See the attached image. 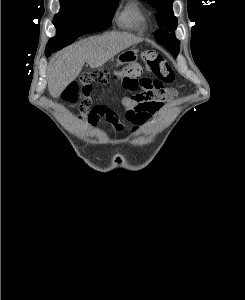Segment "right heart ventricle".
<instances>
[{
  "instance_id": "1",
  "label": "right heart ventricle",
  "mask_w": 245,
  "mask_h": 300,
  "mask_svg": "<svg viewBox=\"0 0 245 300\" xmlns=\"http://www.w3.org/2000/svg\"><path fill=\"white\" fill-rule=\"evenodd\" d=\"M121 27L140 29L145 24V18L137 2L128 3L117 18Z\"/></svg>"
}]
</instances>
